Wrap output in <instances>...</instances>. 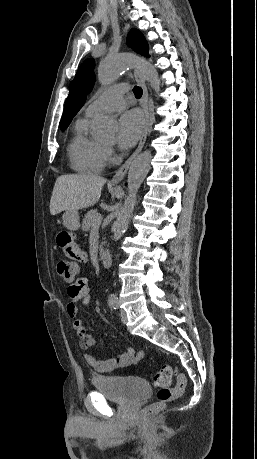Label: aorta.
<instances>
[{
    "mask_svg": "<svg viewBox=\"0 0 257 459\" xmlns=\"http://www.w3.org/2000/svg\"><path fill=\"white\" fill-rule=\"evenodd\" d=\"M133 64H136L150 86L158 93L160 82L158 73L153 65L143 59L135 58L129 54H117L103 60L98 68V80L102 85L114 82L122 73L126 72ZM115 121L109 117L101 116L93 122V135L101 141H109L114 138ZM151 152L144 151L132 161L128 172V196L121 207L112 231L113 239L119 240L128 228L131 214L136 205L138 190L150 169Z\"/></svg>",
    "mask_w": 257,
    "mask_h": 459,
    "instance_id": "obj_1",
    "label": "aorta"
}]
</instances>
